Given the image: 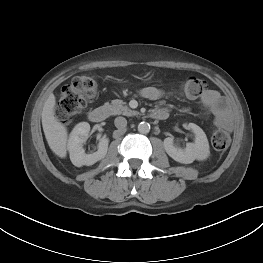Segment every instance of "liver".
Here are the masks:
<instances>
[{
	"label": "liver",
	"instance_id": "6515ba94",
	"mask_svg": "<svg viewBox=\"0 0 263 263\" xmlns=\"http://www.w3.org/2000/svg\"><path fill=\"white\" fill-rule=\"evenodd\" d=\"M55 104V96L51 93L43 106L42 126L50 149L57 156L65 158L68 134L66 127L55 117Z\"/></svg>",
	"mask_w": 263,
	"mask_h": 263
}]
</instances>
